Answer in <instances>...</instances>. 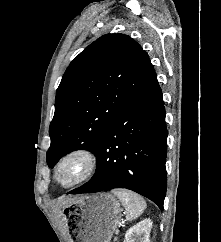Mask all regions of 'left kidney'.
<instances>
[{
  "label": "left kidney",
  "mask_w": 221,
  "mask_h": 242,
  "mask_svg": "<svg viewBox=\"0 0 221 242\" xmlns=\"http://www.w3.org/2000/svg\"><path fill=\"white\" fill-rule=\"evenodd\" d=\"M151 228V220L144 219L126 232L124 242H150Z\"/></svg>",
  "instance_id": "left-kidney-1"
}]
</instances>
